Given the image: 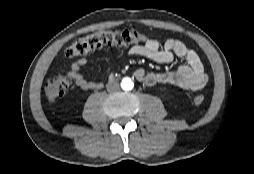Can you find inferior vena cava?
Wrapping results in <instances>:
<instances>
[{
    "label": "inferior vena cava",
    "mask_w": 254,
    "mask_h": 174,
    "mask_svg": "<svg viewBox=\"0 0 254 174\" xmlns=\"http://www.w3.org/2000/svg\"><path fill=\"white\" fill-rule=\"evenodd\" d=\"M108 92L117 91L119 89V83L117 81H111L106 85Z\"/></svg>",
    "instance_id": "1"
}]
</instances>
